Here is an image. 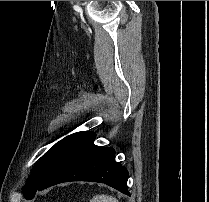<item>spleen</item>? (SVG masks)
I'll use <instances>...</instances> for the list:
<instances>
[{"instance_id":"spleen-1","label":"spleen","mask_w":209,"mask_h":202,"mask_svg":"<svg viewBox=\"0 0 209 202\" xmlns=\"http://www.w3.org/2000/svg\"><path fill=\"white\" fill-rule=\"evenodd\" d=\"M90 202H118V200L113 196L101 194L94 196Z\"/></svg>"}]
</instances>
